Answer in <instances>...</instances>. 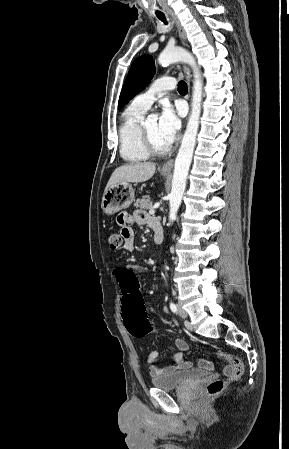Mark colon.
I'll use <instances>...</instances> for the list:
<instances>
[{"mask_svg":"<svg viewBox=\"0 0 289 449\" xmlns=\"http://www.w3.org/2000/svg\"><path fill=\"white\" fill-rule=\"evenodd\" d=\"M109 247L112 251L119 250L124 239L121 233L111 232L108 235ZM113 276L118 280L119 290L122 292L121 304L123 309L124 323L128 332L135 337H144L153 332V327L148 321L143 298L139 290L137 278L132 268H114ZM219 355L226 359L233 367L230 374V381L240 378L244 372V366L241 360L233 355L220 352ZM225 380H213L207 386L209 395H217L226 387Z\"/></svg>","mask_w":289,"mask_h":449,"instance_id":"5ec220e1","label":"colon"}]
</instances>
